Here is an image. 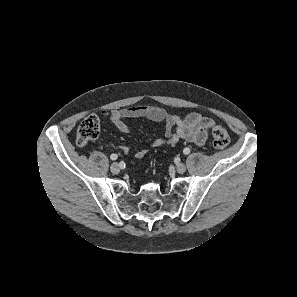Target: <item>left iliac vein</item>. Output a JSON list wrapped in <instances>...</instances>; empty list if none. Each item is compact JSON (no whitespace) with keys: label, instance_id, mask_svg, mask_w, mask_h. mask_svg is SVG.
I'll return each instance as SVG.
<instances>
[{"label":"left iliac vein","instance_id":"obj_1","mask_svg":"<svg viewBox=\"0 0 297 297\" xmlns=\"http://www.w3.org/2000/svg\"><path fill=\"white\" fill-rule=\"evenodd\" d=\"M176 170L178 173L183 174L186 171V166L183 163L176 164Z\"/></svg>","mask_w":297,"mask_h":297}]
</instances>
